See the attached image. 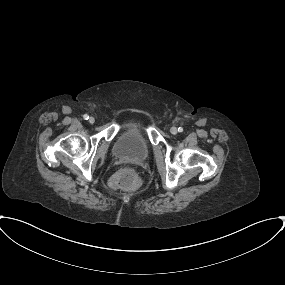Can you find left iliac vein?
<instances>
[{"instance_id": "left-iliac-vein-1", "label": "left iliac vein", "mask_w": 285, "mask_h": 285, "mask_svg": "<svg viewBox=\"0 0 285 285\" xmlns=\"http://www.w3.org/2000/svg\"><path fill=\"white\" fill-rule=\"evenodd\" d=\"M170 132H171L172 134H176V133H177V128L174 127V126L171 127Z\"/></svg>"}]
</instances>
